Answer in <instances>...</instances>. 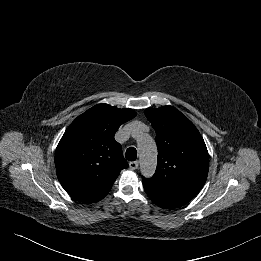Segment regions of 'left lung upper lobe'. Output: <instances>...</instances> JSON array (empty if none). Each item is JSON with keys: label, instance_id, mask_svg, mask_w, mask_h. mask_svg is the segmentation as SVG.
<instances>
[{"label": "left lung upper lobe", "instance_id": "obj_1", "mask_svg": "<svg viewBox=\"0 0 261 261\" xmlns=\"http://www.w3.org/2000/svg\"><path fill=\"white\" fill-rule=\"evenodd\" d=\"M147 119L156 131L158 162L155 174L142 182L196 196L207 179L209 155L195 125L172 106L148 108Z\"/></svg>", "mask_w": 261, "mask_h": 261}]
</instances>
